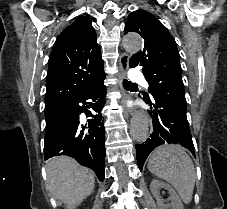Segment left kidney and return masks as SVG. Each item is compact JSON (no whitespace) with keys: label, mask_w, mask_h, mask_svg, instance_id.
Here are the masks:
<instances>
[{"label":"left kidney","mask_w":227,"mask_h":209,"mask_svg":"<svg viewBox=\"0 0 227 209\" xmlns=\"http://www.w3.org/2000/svg\"><path fill=\"white\" fill-rule=\"evenodd\" d=\"M159 189H166L168 191L170 197L167 201H170V203H167V205H165L164 199H161ZM150 191L153 197L157 199L158 209H184L180 197H178L177 193H175L174 189L168 183H161L158 179H153L150 185Z\"/></svg>","instance_id":"obj_1"}]
</instances>
